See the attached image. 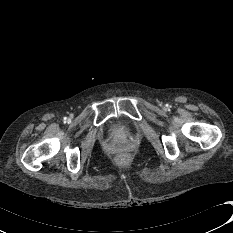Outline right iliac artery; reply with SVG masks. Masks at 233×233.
Instances as JSON below:
<instances>
[{"instance_id": "82829eb1", "label": "right iliac artery", "mask_w": 233, "mask_h": 233, "mask_svg": "<svg viewBox=\"0 0 233 233\" xmlns=\"http://www.w3.org/2000/svg\"><path fill=\"white\" fill-rule=\"evenodd\" d=\"M64 122H65V123L67 122V118H66V117L64 118Z\"/></svg>"}]
</instances>
